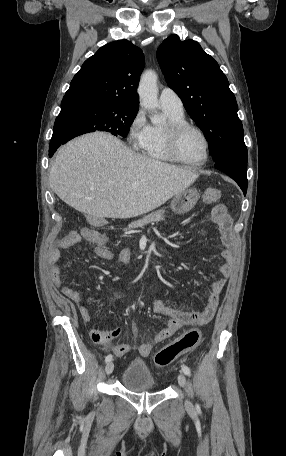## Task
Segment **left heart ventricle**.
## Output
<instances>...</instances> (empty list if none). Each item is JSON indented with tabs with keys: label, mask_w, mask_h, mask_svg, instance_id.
Segmentation results:
<instances>
[{
	"label": "left heart ventricle",
	"mask_w": 286,
	"mask_h": 456,
	"mask_svg": "<svg viewBox=\"0 0 286 456\" xmlns=\"http://www.w3.org/2000/svg\"><path fill=\"white\" fill-rule=\"evenodd\" d=\"M177 150L182 158L191 162L201 161L205 156V144L202 137L191 129L180 134Z\"/></svg>",
	"instance_id": "b2bd125f"
}]
</instances>
